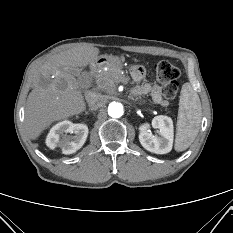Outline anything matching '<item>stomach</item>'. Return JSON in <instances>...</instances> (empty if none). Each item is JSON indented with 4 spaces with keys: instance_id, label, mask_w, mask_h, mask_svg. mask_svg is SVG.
<instances>
[{
    "instance_id": "1",
    "label": "stomach",
    "mask_w": 233,
    "mask_h": 233,
    "mask_svg": "<svg viewBox=\"0 0 233 233\" xmlns=\"http://www.w3.org/2000/svg\"><path fill=\"white\" fill-rule=\"evenodd\" d=\"M93 67H121L122 60L114 55H102L99 56L94 62L91 63Z\"/></svg>"
}]
</instances>
